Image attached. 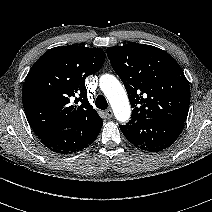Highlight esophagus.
Listing matches in <instances>:
<instances>
[{"label": "esophagus", "instance_id": "obj_1", "mask_svg": "<svg viewBox=\"0 0 212 212\" xmlns=\"http://www.w3.org/2000/svg\"><path fill=\"white\" fill-rule=\"evenodd\" d=\"M106 115H107L109 118H111V117L113 116V111H112L111 108H109V109L106 110Z\"/></svg>", "mask_w": 212, "mask_h": 212}]
</instances>
